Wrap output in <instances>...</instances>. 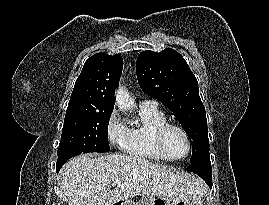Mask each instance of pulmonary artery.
I'll list each match as a JSON object with an SVG mask.
<instances>
[{"instance_id":"e3ab8cb5","label":"pulmonary artery","mask_w":269,"mask_h":205,"mask_svg":"<svg viewBox=\"0 0 269 205\" xmlns=\"http://www.w3.org/2000/svg\"><path fill=\"white\" fill-rule=\"evenodd\" d=\"M158 102L156 100H144L141 106L156 107Z\"/></svg>"}]
</instances>
